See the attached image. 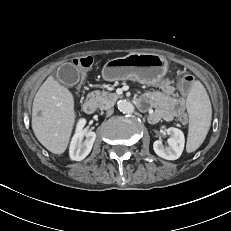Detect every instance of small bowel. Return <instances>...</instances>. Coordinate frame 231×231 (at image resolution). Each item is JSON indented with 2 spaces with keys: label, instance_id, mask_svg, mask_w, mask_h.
<instances>
[{
  "label": "small bowel",
  "instance_id": "c3829d8e",
  "mask_svg": "<svg viewBox=\"0 0 231 231\" xmlns=\"http://www.w3.org/2000/svg\"><path fill=\"white\" fill-rule=\"evenodd\" d=\"M140 99L146 105L144 110L149 111L148 121L151 124L169 122L185 115L186 102L174 96V88L169 81H164L159 90L143 94Z\"/></svg>",
  "mask_w": 231,
  "mask_h": 231
}]
</instances>
